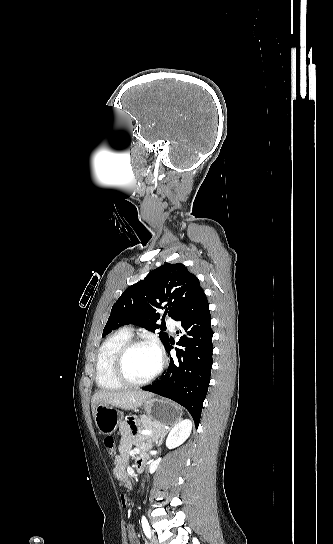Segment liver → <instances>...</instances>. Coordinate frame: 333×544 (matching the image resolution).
I'll list each match as a JSON object with an SVG mask.
<instances>
[{
    "label": "liver",
    "mask_w": 333,
    "mask_h": 544,
    "mask_svg": "<svg viewBox=\"0 0 333 544\" xmlns=\"http://www.w3.org/2000/svg\"><path fill=\"white\" fill-rule=\"evenodd\" d=\"M151 396V393L141 390L99 391L91 398L92 414L95 416L98 404H109L124 410H136Z\"/></svg>",
    "instance_id": "obj_1"
}]
</instances>
